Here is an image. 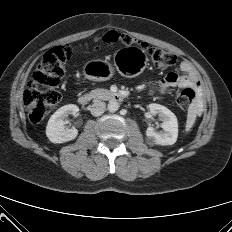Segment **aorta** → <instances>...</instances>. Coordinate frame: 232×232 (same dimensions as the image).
Returning <instances> with one entry per match:
<instances>
[{
  "label": "aorta",
  "instance_id": "1",
  "mask_svg": "<svg viewBox=\"0 0 232 232\" xmlns=\"http://www.w3.org/2000/svg\"><path fill=\"white\" fill-rule=\"evenodd\" d=\"M119 109V103L115 100H111L108 103V110L110 112H116Z\"/></svg>",
  "mask_w": 232,
  "mask_h": 232
}]
</instances>
